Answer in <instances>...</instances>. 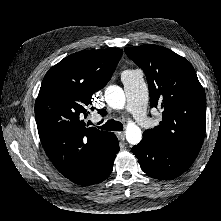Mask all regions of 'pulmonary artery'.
I'll use <instances>...</instances> for the list:
<instances>
[{
	"label": "pulmonary artery",
	"instance_id": "e3ab8cb5",
	"mask_svg": "<svg viewBox=\"0 0 221 221\" xmlns=\"http://www.w3.org/2000/svg\"><path fill=\"white\" fill-rule=\"evenodd\" d=\"M121 80L126 94L124 112L132 116L137 124L143 126L150 123L146 112L148 87L141 70H127L122 73Z\"/></svg>",
	"mask_w": 221,
	"mask_h": 221
}]
</instances>
